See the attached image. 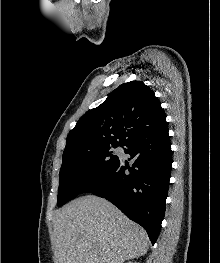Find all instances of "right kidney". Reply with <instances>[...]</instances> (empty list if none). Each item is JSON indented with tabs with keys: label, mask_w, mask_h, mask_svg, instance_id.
Masks as SVG:
<instances>
[{
	"label": "right kidney",
	"mask_w": 220,
	"mask_h": 263,
	"mask_svg": "<svg viewBox=\"0 0 220 263\" xmlns=\"http://www.w3.org/2000/svg\"><path fill=\"white\" fill-rule=\"evenodd\" d=\"M127 263H137V262H133V261H128Z\"/></svg>",
	"instance_id": "right-kidney-1"
}]
</instances>
